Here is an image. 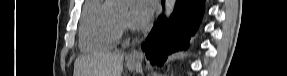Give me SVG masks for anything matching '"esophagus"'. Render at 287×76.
I'll return each instance as SVG.
<instances>
[{
    "label": "esophagus",
    "mask_w": 287,
    "mask_h": 76,
    "mask_svg": "<svg viewBox=\"0 0 287 76\" xmlns=\"http://www.w3.org/2000/svg\"><path fill=\"white\" fill-rule=\"evenodd\" d=\"M143 58H144L143 53L137 50L130 52L128 55V59L132 61H142Z\"/></svg>",
    "instance_id": "esophagus-1"
}]
</instances>
